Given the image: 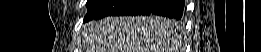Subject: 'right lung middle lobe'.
I'll list each match as a JSON object with an SVG mask.
<instances>
[{
    "label": "right lung middle lobe",
    "instance_id": "obj_1",
    "mask_svg": "<svg viewBox=\"0 0 261 52\" xmlns=\"http://www.w3.org/2000/svg\"><path fill=\"white\" fill-rule=\"evenodd\" d=\"M106 0H88L87 2V8H88V12L95 9L96 7L100 6L101 4H103ZM174 19V18H173ZM179 20V19H177ZM173 23H176L177 25L179 24L178 22H176L175 20H170Z\"/></svg>",
    "mask_w": 261,
    "mask_h": 52
}]
</instances>
